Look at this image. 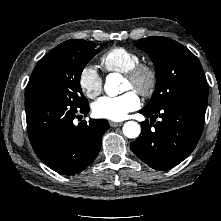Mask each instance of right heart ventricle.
<instances>
[{
  "label": "right heart ventricle",
  "instance_id": "1",
  "mask_svg": "<svg viewBox=\"0 0 221 221\" xmlns=\"http://www.w3.org/2000/svg\"><path fill=\"white\" fill-rule=\"evenodd\" d=\"M101 65L108 72L125 74L140 62L138 53L125 47H113L100 58Z\"/></svg>",
  "mask_w": 221,
  "mask_h": 221
}]
</instances>
